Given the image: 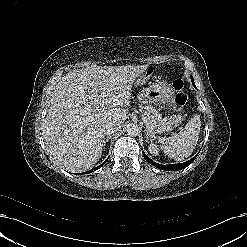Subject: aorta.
Segmentation results:
<instances>
[{"instance_id":"762f6f07","label":"aorta","mask_w":247,"mask_h":247,"mask_svg":"<svg viewBox=\"0 0 247 247\" xmlns=\"http://www.w3.org/2000/svg\"><path fill=\"white\" fill-rule=\"evenodd\" d=\"M138 126L134 123H130L126 126V133L129 135V136H137L138 134Z\"/></svg>"}]
</instances>
